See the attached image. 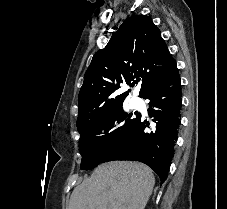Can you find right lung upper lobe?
I'll list each match as a JSON object with an SVG mask.
<instances>
[{"mask_svg":"<svg viewBox=\"0 0 227 209\" xmlns=\"http://www.w3.org/2000/svg\"><path fill=\"white\" fill-rule=\"evenodd\" d=\"M175 63L160 30L146 15L131 16L123 22L104 49L95 53L81 87L78 118L98 115L108 99H125L130 90L118 93L120 86L141 80L143 97L158 77L154 69ZM77 118V119H78Z\"/></svg>","mask_w":227,"mask_h":209,"instance_id":"right-lung-upper-lobe-1","label":"right lung upper lobe"}]
</instances>
